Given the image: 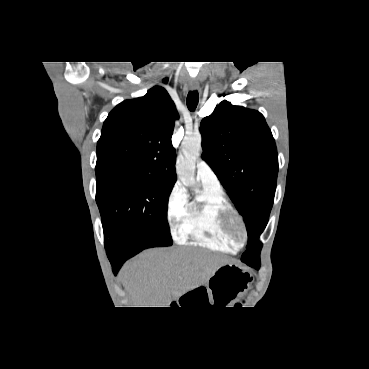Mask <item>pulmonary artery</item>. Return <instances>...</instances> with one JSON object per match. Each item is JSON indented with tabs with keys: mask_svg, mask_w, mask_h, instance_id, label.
<instances>
[{
	"mask_svg": "<svg viewBox=\"0 0 369 369\" xmlns=\"http://www.w3.org/2000/svg\"><path fill=\"white\" fill-rule=\"evenodd\" d=\"M196 173L197 178L202 183V185L216 190L221 189V185L217 175L204 160L198 161L196 165Z\"/></svg>",
	"mask_w": 369,
	"mask_h": 369,
	"instance_id": "1",
	"label": "pulmonary artery"
}]
</instances>
